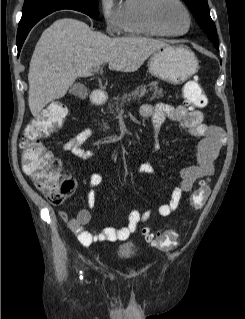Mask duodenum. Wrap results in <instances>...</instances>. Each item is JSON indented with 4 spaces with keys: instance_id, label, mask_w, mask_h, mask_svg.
Returning <instances> with one entry per match:
<instances>
[{
    "instance_id": "410a0bca",
    "label": "duodenum",
    "mask_w": 245,
    "mask_h": 319,
    "mask_svg": "<svg viewBox=\"0 0 245 319\" xmlns=\"http://www.w3.org/2000/svg\"><path fill=\"white\" fill-rule=\"evenodd\" d=\"M89 101H90V104H91V105L99 106V105H101V104L103 103V101H104V96H103V94H102L101 91H99V90H94V91H92L91 94H90V99H89Z\"/></svg>"
}]
</instances>
